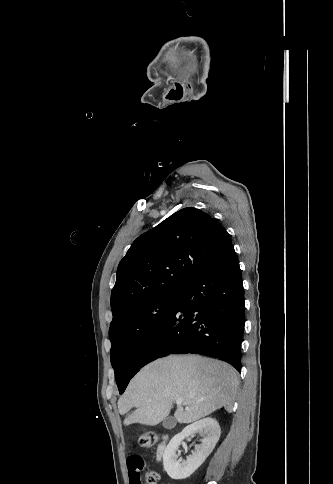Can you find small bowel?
Here are the masks:
<instances>
[{
	"label": "small bowel",
	"instance_id": "c3829d8e",
	"mask_svg": "<svg viewBox=\"0 0 333 484\" xmlns=\"http://www.w3.org/2000/svg\"><path fill=\"white\" fill-rule=\"evenodd\" d=\"M130 484H141V472L145 468V463L140 455H130L127 458Z\"/></svg>",
	"mask_w": 333,
	"mask_h": 484
}]
</instances>
